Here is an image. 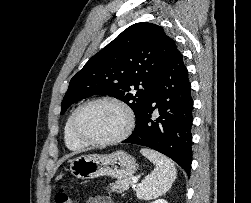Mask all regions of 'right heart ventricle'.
Returning a JSON list of instances; mask_svg holds the SVG:
<instances>
[{"mask_svg": "<svg viewBox=\"0 0 251 203\" xmlns=\"http://www.w3.org/2000/svg\"><path fill=\"white\" fill-rule=\"evenodd\" d=\"M72 112L66 119L65 124H64V141L66 146L73 151H78L81 150L83 148H85L87 145H85L84 143L80 142L78 139L75 138V136L72 133L71 130V120H72V116H73Z\"/></svg>", "mask_w": 251, "mask_h": 203, "instance_id": "right-heart-ventricle-1", "label": "right heart ventricle"}]
</instances>
